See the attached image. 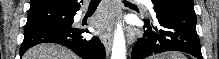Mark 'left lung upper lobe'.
<instances>
[{
  "instance_id": "obj_1",
  "label": "left lung upper lobe",
  "mask_w": 219,
  "mask_h": 59,
  "mask_svg": "<svg viewBox=\"0 0 219 59\" xmlns=\"http://www.w3.org/2000/svg\"><path fill=\"white\" fill-rule=\"evenodd\" d=\"M192 0H152L155 9L175 8Z\"/></svg>"
}]
</instances>
